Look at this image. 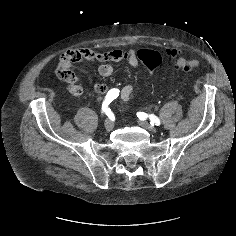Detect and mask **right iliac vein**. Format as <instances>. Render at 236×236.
<instances>
[{
  "label": "right iliac vein",
  "instance_id": "obj_1",
  "mask_svg": "<svg viewBox=\"0 0 236 236\" xmlns=\"http://www.w3.org/2000/svg\"><path fill=\"white\" fill-rule=\"evenodd\" d=\"M104 127L107 131H111L114 128V123L111 119H106L104 123Z\"/></svg>",
  "mask_w": 236,
  "mask_h": 236
}]
</instances>
